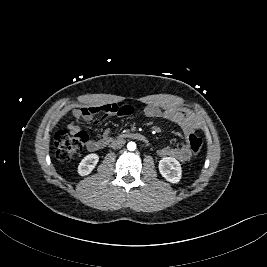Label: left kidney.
<instances>
[{"mask_svg": "<svg viewBox=\"0 0 267 267\" xmlns=\"http://www.w3.org/2000/svg\"><path fill=\"white\" fill-rule=\"evenodd\" d=\"M159 172L170 183H178L181 179L182 168L179 161L172 157H164L159 161Z\"/></svg>", "mask_w": 267, "mask_h": 267, "instance_id": "obj_1", "label": "left kidney"}]
</instances>
